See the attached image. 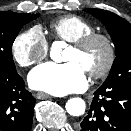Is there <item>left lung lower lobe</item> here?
<instances>
[{
  "label": "left lung lower lobe",
  "mask_w": 131,
  "mask_h": 131,
  "mask_svg": "<svg viewBox=\"0 0 131 131\" xmlns=\"http://www.w3.org/2000/svg\"><path fill=\"white\" fill-rule=\"evenodd\" d=\"M79 131H131V86L102 85Z\"/></svg>",
  "instance_id": "1"
}]
</instances>
